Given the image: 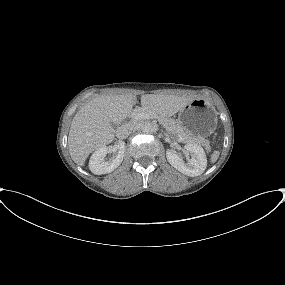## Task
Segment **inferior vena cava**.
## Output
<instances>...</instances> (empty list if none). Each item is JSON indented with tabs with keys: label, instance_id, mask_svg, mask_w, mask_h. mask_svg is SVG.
Returning a JSON list of instances; mask_svg holds the SVG:
<instances>
[{
	"label": "inferior vena cava",
	"instance_id": "obj_1",
	"mask_svg": "<svg viewBox=\"0 0 285 285\" xmlns=\"http://www.w3.org/2000/svg\"><path fill=\"white\" fill-rule=\"evenodd\" d=\"M134 131V125L131 123L121 125L117 131L116 136L119 139L127 138Z\"/></svg>",
	"mask_w": 285,
	"mask_h": 285
}]
</instances>
